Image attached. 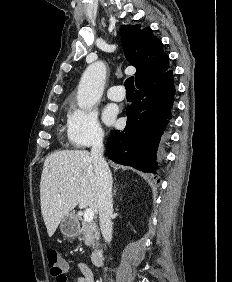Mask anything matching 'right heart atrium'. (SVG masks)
I'll return each instance as SVG.
<instances>
[{"mask_svg": "<svg viewBox=\"0 0 232 282\" xmlns=\"http://www.w3.org/2000/svg\"><path fill=\"white\" fill-rule=\"evenodd\" d=\"M104 136L97 112L73 108L67 118V137L72 146L85 148L99 143Z\"/></svg>", "mask_w": 232, "mask_h": 282, "instance_id": "1", "label": "right heart atrium"}]
</instances>
